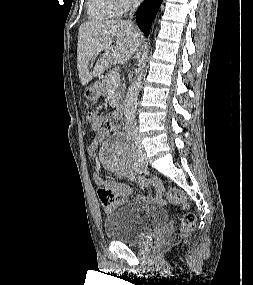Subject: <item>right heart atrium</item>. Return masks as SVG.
<instances>
[{"label": "right heart atrium", "instance_id": "d8ad5b80", "mask_svg": "<svg viewBox=\"0 0 253 285\" xmlns=\"http://www.w3.org/2000/svg\"><path fill=\"white\" fill-rule=\"evenodd\" d=\"M118 1L123 10L129 9L137 2V0H118Z\"/></svg>", "mask_w": 253, "mask_h": 285}]
</instances>
